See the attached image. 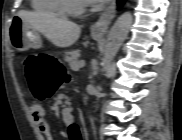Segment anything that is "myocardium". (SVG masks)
Here are the masks:
<instances>
[{"label": "myocardium", "instance_id": "1", "mask_svg": "<svg viewBox=\"0 0 182 140\" xmlns=\"http://www.w3.org/2000/svg\"><path fill=\"white\" fill-rule=\"evenodd\" d=\"M64 10L71 15H80L84 12L85 6L78 0H66L63 3Z\"/></svg>", "mask_w": 182, "mask_h": 140}]
</instances>
